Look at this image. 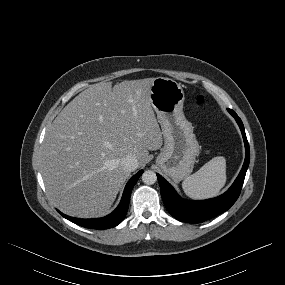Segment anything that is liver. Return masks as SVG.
Segmentation results:
<instances>
[{
	"label": "liver",
	"mask_w": 285,
	"mask_h": 285,
	"mask_svg": "<svg viewBox=\"0 0 285 285\" xmlns=\"http://www.w3.org/2000/svg\"><path fill=\"white\" fill-rule=\"evenodd\" d=\"M155 78L100 82L77 95L47 129L42 176L52 202L64 213L105 215L129 170L128 155L145 164L149 150L162 146V132L150 100Z\"/></svg>",
	"instance_id": "liver-1"
}]
</instances>
